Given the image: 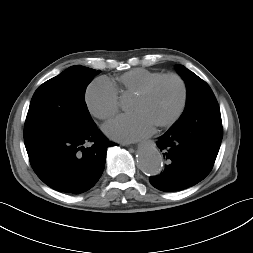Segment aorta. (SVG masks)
<instances>
[{
    "instance_id": "762f6f07",
    "label": "aorta",
    "mask_w": 253,
    "mask_h": 253,
    "mask_svg": "<svg viewBox=\"0 0 253 253\" xmlns=\"http://www.w3.org/2000/svg\"><path fill=\"white\" fill-rule=\"evenodd\" d=\"M137 166L145 174L155 176L163 169V158L155 144L148 142L137 152Z\"/></svg>"
}]
</instances>
